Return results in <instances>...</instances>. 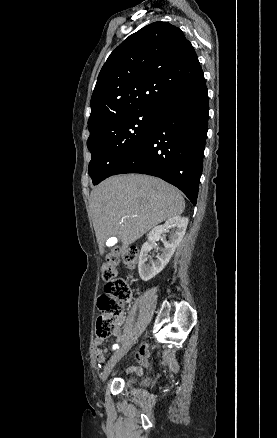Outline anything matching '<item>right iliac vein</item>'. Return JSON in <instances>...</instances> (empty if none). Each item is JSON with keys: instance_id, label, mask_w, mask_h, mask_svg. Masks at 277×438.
Returning <instances> with one entry per match:
<instances>
[{"instance_id": "right-iliac-vein-1", "label": "right iliac vein", "mask_w": 277, "mask_h": 438, "mask_svg": "<svg viewBox=\"0 0 277 438\" xmlns=\"http://www.w3.org/2000/svg\"><path fill=\"white\" fill-rule=\"evenodd\" d=\"M131 348V345H127L124 347H121L117 349L114 354L112 355L111 359L108 361L106 366L104 367V370L102 372L101 379L102 381H105L107 377L109 376L110 372L114 368V366L121 360V358L129 351Z\"/></svg>"}]
</instances>
